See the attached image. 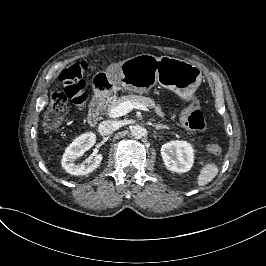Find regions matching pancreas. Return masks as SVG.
<instances>
[{
  "label": "pancreas",
  "mask_w": 266,
  "mask_h": 266,
  "mask_svg": "<svg viewBox=\"0 0 266 266\" xmlns=\"http://www.w3.org/2000/svg\"><path fill=\"white\" fill-rule=\"evenodd\" d=\"M124 101H132V102H139L142 104L147 105L150 109L154 111V113L161 119L167 120L166 114L163 111L162 107L157 104L152 98L141 96V95H135V96H126L121 98V100H118L117 103L124 102Z\"/></svg>",
  "instance_id": "obj_1"
}]
</instances>
